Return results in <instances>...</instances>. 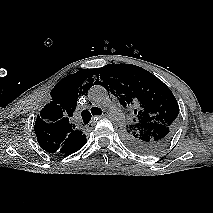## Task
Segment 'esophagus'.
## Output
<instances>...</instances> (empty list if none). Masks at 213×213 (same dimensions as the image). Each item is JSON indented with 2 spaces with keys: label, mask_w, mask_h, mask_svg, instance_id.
Instances as JSON below:
<instances>
[{
  "label": "esophagus",
  "mask_w": 213,
  "mask_h": 213,
  "mask_svg": "<svg viewBox=\"0 0 213 213\" xmlns=\"http://www.w3.org/2000/svg\"><path fill=\"white\" fill-rule=\"evenodd\" d=\"M104 116H106V114H101V115H98L94 118V121L90 122L88 125H87V128L88 129H92V126L96 123L95 120H98V119H101L103 118Z\"/></svg>",
  "instance_id": "esophagus-1"
}]
</instances>
